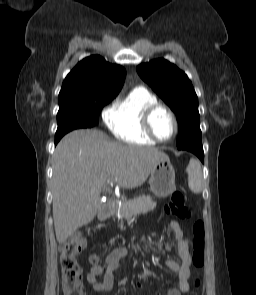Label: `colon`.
<instances>
[{
	"label": "colon",
	"mask_w": 256,
	"mask_h": 295,
	"mask_svg": "<svg viewBox=\"0 0 256 295\" xmlns=\"http://www.w3.org/2000/svg\"><path fill=\"white\" fill-rule=\"evenodd\" d=\"M164 212L166 215L183 220L191 218V212L185 204L184 195L179 191L172 194L170 201L164 207ZM192 233V262L194 266L201 267L205 259V229L201 220H196L193 223ZM85 245V239L81 234L77 233L69 238L61 247L60 268L64 295H82V269L77 257L85 248ZM92 262H98V258L93 257ZM195 285L198 287L200 282L197 280Z\"/></svg>",
	"instance_id": "obj_1"
}]
</instances>
